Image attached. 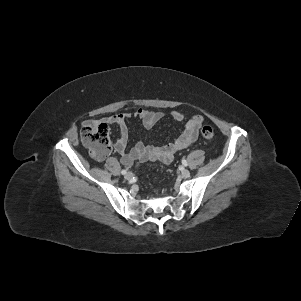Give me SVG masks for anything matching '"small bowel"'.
<instances>
[{
  "instance_id": "1",
  "label": "small bowel",
  "mask_w": 301,
  "mask_h": 301,
  "mask_svg": "<svg viewBox=\"0 0 301 301\" xmlns=\"http://www.w3.org/2000/svg\"><path fill=\"white\" fill-rule=\"evenodd\" d=\"M135 116L140 120L145 129H151L159 120L163 113L139 108ZM172 118L177 122L185 119V114L181 111H172ZM129 117L127 113L116 114L106 119V122L118 128L119 137L116 140L113 149L120 156L121 163L130 167L136 160L140 161H160L163 163L171 162L175 155L182 150L190 147L197 139L198 130L203 122L202 115L196 114L190 117L182 133L171 143L155 146L145 145L138 141L130 150L128 149V128L126 120ZM100 158L99 160H102Z\"/></svg>"
}]
</instances>
